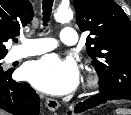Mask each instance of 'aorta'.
<instances>
[{
  "label": "aorta",
  "mask_w": 131,
  "mask_h": 115,
  "mask_svg": "<svg viewBox=\"0 0 131 115\" xmlns=\"http://www.w3.org/2000/svg\"><path fill=\"white\" fill-rule=\"evenodd\" d=\"M54 17L58 22H67L73 18V12L70 8H59Z\"/></svg>",
  "instance_id": "obj_1"
}]
</instances>
